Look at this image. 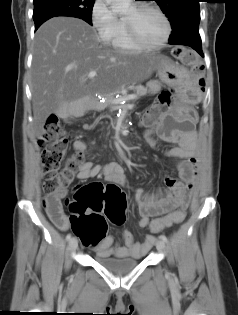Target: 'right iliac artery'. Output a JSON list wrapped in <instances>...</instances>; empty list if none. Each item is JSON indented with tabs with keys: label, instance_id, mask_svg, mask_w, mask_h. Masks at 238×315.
Segmentation results:
<instances>
[{
	"label": "right iliac artery",
	"instance_id": "obj_1",
	"mask_svg": "<svg viewBox=\"0 0 238 315\" xmlns=\"http://www.w3.org/2000/svg\"><path fill=\"white\" fill-rule=\"evenodd\" d=\"M70 239H71V234H68V235L66 236V240L69 241Z\"/></svg>",
	"mask_w": 238,
	"mask_h": 315
}]
</instances>
